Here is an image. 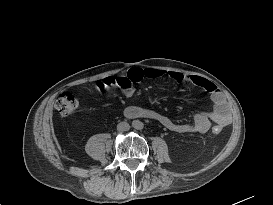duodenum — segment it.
I'll return each mask as SVG.
<instances>
[{
    "mask_svg": "<svg viewBox=\"0 0 273 205\" xmlns=\"http://www.w3.org/2000/svg\"><path fill=\"white\" fill-rule=\"evenodd\" d=\"M126 113H127V110H126ZM128 114V113H127ZM138 117H140V116H147V114H145V113H143V112H141L139 115H137Z\"/></svg>",
    "mask_w": 273,
    "mask_h": 205,
    "instance_id": "410a0bca",
    "label": "duodenum"
}]
</instances>
